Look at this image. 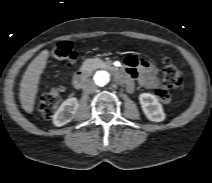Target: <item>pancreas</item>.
Here are the masks:
<instances>
[{
  "label": "pancreas",
  "mask_w": 212,
  "mask_h": 183,
  "mask_svg": "<svg viewBox=\"0 0 212 183\" xmlns=\"http://www.w3.org/2000/svg\"><path fill=\"white\" fill-rule=\"evenodd\" d=\"M99 62V60L97 59V60H94V59H88V60H86L85 62H84V66H90V65H93V64H96V63H98ZM105 65H106V63H104Z\"/></svg>",
  "instance_id": "cf45deb5"
}]
</instances>
